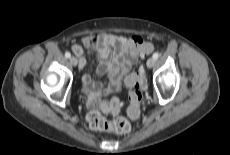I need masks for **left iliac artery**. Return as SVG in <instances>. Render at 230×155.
<instances>
[{"label": "left iliac artery", "instance_id": "left-iliac-artery-1", "mask_svg": "<svg viewBox=\"0 0 230 155\" xmlns=\"http://www.w3.org/2000/svg\"><path fill=\"white\" fill-rule=\"evenodd\" d=\"M158 57H159V54H158L157 52L153 54V58H154L155 60L158 59Z\"/></svg>", "mask_w": 230, "mask_h": 155}]
</instances>
